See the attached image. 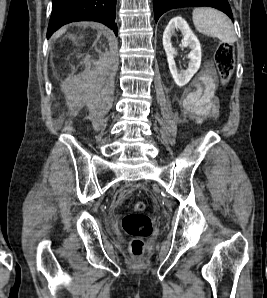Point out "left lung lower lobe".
<instances>
[{
	"label": "left lung lower lobe",
	"mask_w": 267,
	"mask_h": 298,
	"mask_svg": "<svg viewBox=\"0 0 267 298\" xmlns=\"http://www.w3.org/2000/svg\"><path fill=\"white\" fill-rule=\"evenodd\" d=\"M155 21L166 11L180 7L210 6L219 9L232 18L227 0H153Z\"/></svg>",
	"instance_id": "left-lung-lower-lobe-1"
}]
</instances>
